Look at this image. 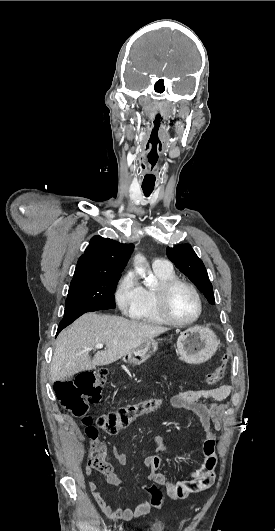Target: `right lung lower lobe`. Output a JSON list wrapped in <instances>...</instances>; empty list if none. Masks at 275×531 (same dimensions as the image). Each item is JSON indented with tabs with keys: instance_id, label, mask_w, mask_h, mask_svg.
I'll return each instance as SVG.
<instances>
[{
	"instance_id": "right-lung-lower-lobe-1",
	"label": "right lung lower lobe",
	"mask_w": 275,
	"mask_h": 531,
	"mask_svg": "<svg viewBox=\"0 0 275 531\" xmlns=\"http://www.w3.org/2000/svg\"><path fill=\"white\" fill-rule=\"evenodd\" d=\"M82 314H76L74 315L73 317H70L68 319H62L60 324H59V327H58V330H57V334L62 330L64 329L67 325L71 324L75 319H77L79 316H81Z\"/></svg>"
}]
</instances>
